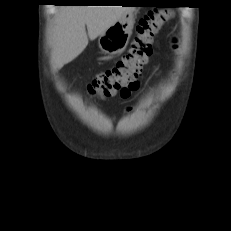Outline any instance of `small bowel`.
Wrapping results in <instances>:
<instances>
[{"mask_svg": "<svg viewBox=\"0 0 231 231\" xmlns=\"http://www.w3.org/2000/svg\"><path fill=\"white\" fill-rule=\"evenodd\" d=\"M140 89L139 81L132 82L119 91V95L122 99H128L133 93Z\"/></svg>", "mask_w": 231, "mask_h": 231, "instance_id": "1", "label": "small bowel"}]
</instances>
